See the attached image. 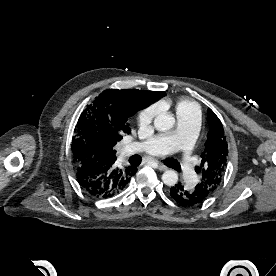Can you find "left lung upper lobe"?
<instances>
[{
	"label": "left lung upper lobe",
	"mask_w": 276,
	"mask_h": 276,
	"mask_svg": "<svg viewBox=\"0 0 276 276\" xmlns=\"http://www.w3.org/2000/svg\"><path fill=\"white\" fill-rule=\"evenodd\" d=\"M211 130L207 134V142L202 156L201 167L195 170L201 174L199 188H205L209 194L220 185L226 167L228 145L221 121L216 114L208 109Z\"/></svg>",
	"instance_id": "1"
}]
</instances>
